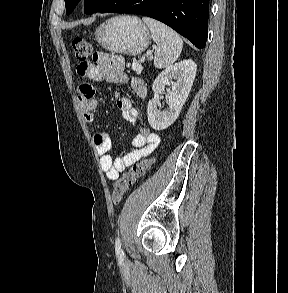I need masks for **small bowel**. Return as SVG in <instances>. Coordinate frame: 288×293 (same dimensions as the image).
<instances>
[{"mask_svg": "<svg viewBox=\"0 0 288 293\" xmlns=\"http://www.w3.org/2000/svg\"><path fill=\"white\" fill-rule=\"evenodd\" d=\"M77 73L80 77L96 83L128 84L137 98L144 99L147 96L144 81L138 77H128L124 70V60L118 55L96 53L92 62L78 65ZM115 98L123 118L136 127L137 134L132 139L135 149L116 159L110 154L112 141L109 135L104 131L93 134V142L100 157L101 169L109 181L116 180L127 167L150 155L160 142L159 136L142 124L140 113L134 108L129 98L118 93H115ZM79 104L84 119L89 123L94 122L98 102L94 97V88L91 84L83 83L80 85Z\"/></svg>", "mask_w": 288, "mask_h": 293, "instance_id": "small-bowel-1", "label": "small bowel"}]
</instances>
